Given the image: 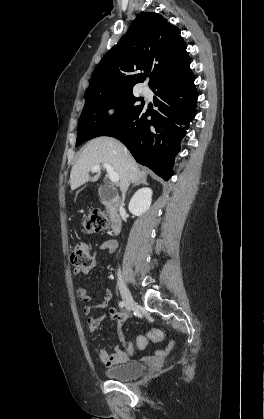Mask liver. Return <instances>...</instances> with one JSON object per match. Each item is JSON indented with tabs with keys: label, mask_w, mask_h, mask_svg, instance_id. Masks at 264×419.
I'll return each mask as SVG.
<instances>
[{
	"label": "liver",
	"mask_w": 264,
	"mask_h": 419,
	"mask_svg": "<svg viewBox=\"0 0 264 419\" xmlns=\"http://www.w3.org/2000/svg\"><path fill=\"white\" fill-rule=\"evenodd\" d=\"M110 164L119 175L120 189L127 190L130 183H137L146 179V173L141 171L138 164L126 147L111 137H98L86 144L78 161L71 169L70 186L77 189L88 181L95 182L101 177L97 171L94 177L89 172L95 165Z\"/></svg>",
	"instance_id": "obj_1"
}]
</instances>
